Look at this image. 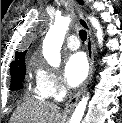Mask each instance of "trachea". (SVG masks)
<instances>
[{
	"instance_id": "3493384b",
	"label": "trachea",
	"mask_w": 122,
	"mask_h": 123,
	"mask_svg": "<svg viewBox=\"0 0 122 123\" xmlns=\"http://www.w3.org/2000/svg\"><path fill=\"white\" fill-rule=\"evenodd\" d=\"M80 38L85 41L87 39V33L85 30H80L79 31Z\"/></svg>"
}]
</instances>
